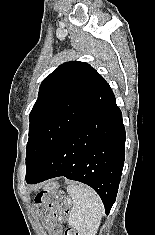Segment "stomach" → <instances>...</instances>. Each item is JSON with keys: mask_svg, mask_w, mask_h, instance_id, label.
<instances>
[{"mask_svg": "<svg viewBox=\"0 0 155 235\" xmlns=\"http://www.w3.org/2000/svg\"><path fill=\"white\" fill-rule=\"evenodd\" d=\"M57 184L55 183H48L46 186H45V190L47 191H51V190H55L57 188Z\"/></svg>", "mask_w": 155, "mask_h": 235, "instance_id": "1", "label": "stomach"}]
</instances>
